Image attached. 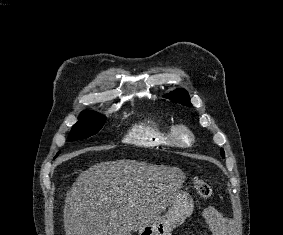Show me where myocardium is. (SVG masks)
Returning <instances> with one entry per match:
<instances>
[{
  "label": "myocardium",
  "instance_id": "1",
  "mask_svg": "<svg viewBox=\"0 0 283 235\" xmlns=\"http://www.w3.org/2000/svg\"><path fill=\"white\" fill-rule=\"evenodd\" d=\"M172 141L177 146H190L195 138L189 127L183 124H178L172 127Z\"/></svg>",
  "mask_w": 283,
  "mask_h": 235
}]
</instances>
